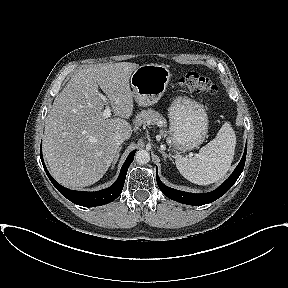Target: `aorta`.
Wrapping results in <instances>:
<instances>
[{
	"instance_id": "762f6f07",
	"label": "aorta",
	"mask_w": 288,
	"mask_h": 288,
	"mask_svg": "<svg viewBox=\"0 0 288 288\" xmlns=\"http://www.w3.org/2000/svg\"><path fill=\"white\" fill-rule=\"evenodd\" d=\"M135 160L140 165L147 164L150 161V154L146 150H139L135 154Z\"/></svg>"
}]
</instances>
